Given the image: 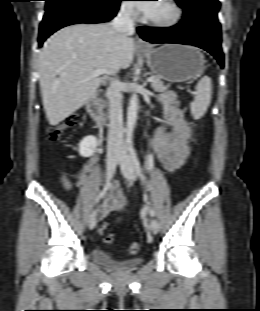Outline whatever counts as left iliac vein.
<instances>
[{"mask_svg": "<svg viewBox=\"0 0 260 311\" xmlns=\"http://www.w3.org/2000/svg\"><path fill=\"white\" fill-rule=\"evenodd\" d=\"M118 163L121 166L125 178L128 182L133 183L136 180L135 167L127 146L124 143L119 146ZM159 228L160 226L158 221L156 219H152L149 225L150 231L153 234H157L159 232Z\"/></svg>", "mask_w": 260, "mask_h": 311, "instance_id": "obj_1", "label": "left iliac vein"}]
</instances>
